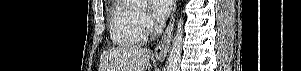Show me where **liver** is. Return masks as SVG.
<instances>
[{
	"instance_id": "liver-1",
	"label": "liver",
	"mask_w": 301,
	"mask_h": 71,
	"mask_svg": "<svg viewBox=\"0 0 301 71\" xmlns=\"http://www.w3.org/2000/svg\"><path fill=\"white\" fill-rule=\"evenodd\" d=\"M150 50L139 46L112 49L102 59L103 71H146Z\"/></svg>"
}]
</instances>
